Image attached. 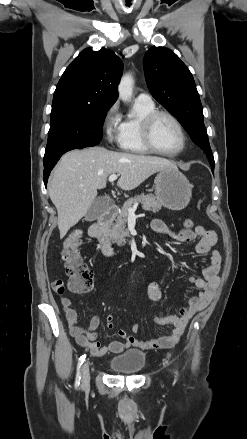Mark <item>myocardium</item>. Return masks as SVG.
<instances>
[{
	"mask_svg": "<svg viewBox=\"0 0 247 439\" xmlns=\"http://www.w3.org/2000/svg\"><path fill=\"white\" fill-rule=\"evenodd\" d=\"M160 116H165V117H168L170 120H172L180 133L181 144H180L179 148L174 150V151H171V152L162 151V150L158 149L153 143L152 128H153V125H154L156 119ZM141 137H142L143 144L150 152L155 153V154H159L162 156H166V157H174V156L179 155L181 152L184 151V149L186 147V143H187V136H186V132H185V129H184L182 123L179 121V119L175 115H173L172 113L165 111V110H155L152 113L148 114L143 119L142 125H141Z\"/></svg>",
	"mask_w": 247,
	"mask_h": 439,
	"instance_id": "f54148a6",
	"label": "myocardium"
}]
</instances>
